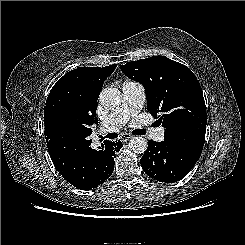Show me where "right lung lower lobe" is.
I'll use <instances>...</instances> for the list:
<instances>
[{
  "mask_svg": "<svg viewBox=\"0 0 245 245\" xmlns=\"http://www.w3.org/2000/svg\"><path fill=\"white\" fill-rule=\"evenodd\" d=\"M48 150L52 162L58 172L74 187L81 190H91L106 182L111 176L115 165V153L123 144L121 141H104L95 150L90 144L79 151H72V147L64 139L55 140Z\"/></svg>",
  "mask_w": 245,
  "mask_h": 245,
  "instance_id": "right-lung-lower-lobe-1",
  "label": "right lung lower lobe"
}]
</instances>
